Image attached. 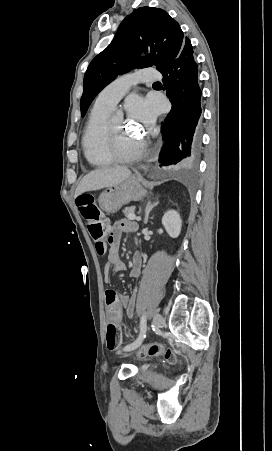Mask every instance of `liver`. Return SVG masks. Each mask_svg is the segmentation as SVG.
<instances>
[{
    "mask_svg": "<svg viewBox=\"0 0 272 451\" xmlns=\"http://www.w3.org/2000/svg\"><path fill=\"white\" fill-rule=\"evenodd\" d=\"M131 176L130 170L126 166H116V168H98V170H92L90 174H86L82 178L80 184H78L75 190V198L81 196L84 192H90V190H101V188H110L113 184L123 182L126 178Z\"/></svg>",
    "mask_w": 272,
    "mask_h": 451,
    "instance_id": "6515ba94",
    "label": "liver"
}]
</instances>
